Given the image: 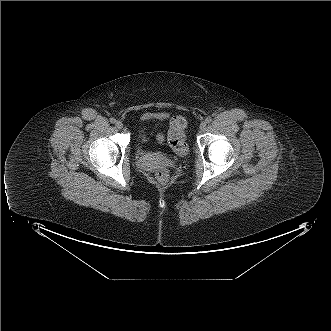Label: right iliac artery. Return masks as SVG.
<instances>
[{"label": "right iliac artery", "instance_id": "right-iliac-artery-1", "mask_svg": "<svg viewBox=\"0 0 331 331\" xmlns=\"http://www.w3.org/2000/svg\"><path fill=\"white\" fill-rule=\"evenodd\" d=\"M110 122L111 123H115L116 122V119L112 117V118H110Z\"/></svg>", "mask_w": 331, "mask_h": 331}]
</instances>
